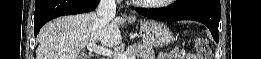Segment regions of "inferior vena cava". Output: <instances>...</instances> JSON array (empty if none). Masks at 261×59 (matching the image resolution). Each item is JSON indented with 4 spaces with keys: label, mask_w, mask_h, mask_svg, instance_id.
Wrapping results in <instances>:
<instances>
[{
    "label": "inferior vena cava",
    "mask_w": 261,
    "mask_h": 59,
    "mask_svg": "<svg viewBox=\"0 0 261 59\" xmlns=\"http://www.w3.org/2000/svg\"><path fill=\"white\" fill-rule=\"evenodd\" d=\"M116 13L115 0H100L97 15L105 20H111Z\"/></svg>",
    "instance_id": "obj_1"
}]
</instances>
